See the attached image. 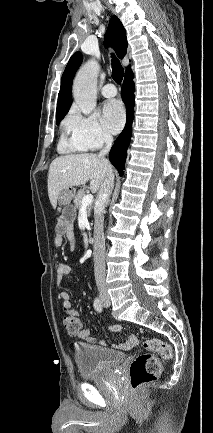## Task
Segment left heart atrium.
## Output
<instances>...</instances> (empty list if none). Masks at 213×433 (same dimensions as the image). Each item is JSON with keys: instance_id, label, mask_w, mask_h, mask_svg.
<instances>
[{"instance_id": "1", "label": "left heart atrium", "mask_w": 213, "mask_h": 433, "mask_svg": "<svg viewBox=\"0 0 213 433\" xmlns=\"http://www.w3.org/2000/svg\"><path fill=\"white\" fill-rule=\"evenodd\" d=\"M125 117V110L119 101L112 100L105 104L102 121L110 132L118 133L124 126Z\"/></svg>"}]
</instances>
